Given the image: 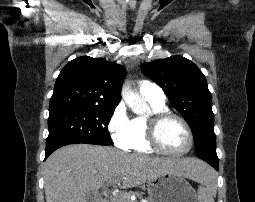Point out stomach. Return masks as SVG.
<instances>
[{
	"instance_id": "stomach-1",
	"label": "stomach",
	"mask_w": 255,
	"mask_h": 202,
	"mask_svg": "<svg viewBox=\"0 0 255 202\" xmlns=\"http://www.w3.org/2000/svg\"><path fill=\"white\" fill-rule=\"evenodd\" d=\"M149 181L154 182L147 186L149 202H197V195L184 176L166 173Z\"/></svg>"
}]
</instances>
